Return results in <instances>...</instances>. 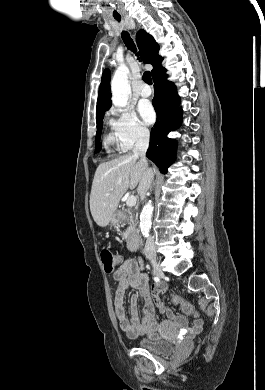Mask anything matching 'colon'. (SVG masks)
Wrapping results in <instances>:
<instances>
[{
	"label": "colon",
	"instance_id": "obj_1",
	"mask_svg": "<svg viewBox=\"0 0 265 390\" xmlns=\"http://www.w3.org/2000/svg\"><path fill=\"white\" fill-rule=\"evenodd\" d=\"M100 258H101V261L103 263L105 272L112 273L115 269L116 264H117V259H116L115 255L109 249L104 248L100 252ZM171 301L174 304L178 305L184 314H187V315H196L197 314L193 305L190 302L184 300L181 296H179L177 294H172Z\"/></svg>",
	"mask_w": 265,
	"mask_h": 390
}]
</instances>
